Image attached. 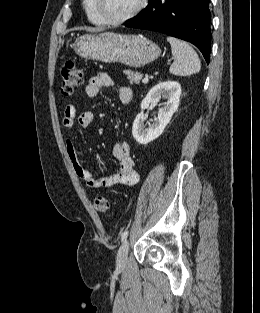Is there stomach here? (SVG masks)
<instances>
[{"label": "stomach", "mask_w": 260, "mask_h": 313, "mask_svg": "<svg viewBox=\"0 0 260 313\" xmlns=\"http://www.w3.org/2000/svg\"><path fill=\"white\" fill-rule=\"evenodd\" d=\"M77 55L106 63L119 62L130 67H143L160 56L161 50L142 35L114 32L84 34L73 43Z\"/></svg>", "instance_id": "1"}]
</instances>
